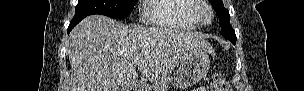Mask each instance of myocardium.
<instances>
[{
    "label": "myocardium",
    "instance_id": "obj_1",
    "mask_svg": "<svg viewBox=\"0 0 304 91\" xmlns=\"http://www.w3.org/2000/svg\"><path fill=\"white\" fill-rule=\"evenodd\" d=\"M197 5L193 10V17L194 19L202 25H209L211 24L214 18V12L211 6L207 3V1L203 0H195ZM205 14L207 16H205Z\"/></svg>",
    "mask_w": 304,
    "mask_h": 91
}]
</instances>
